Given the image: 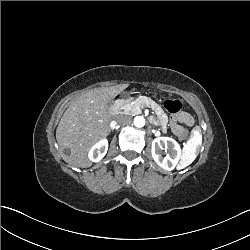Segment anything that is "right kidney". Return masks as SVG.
<instances>
[{
  "label": "right kidney",
  "mask_w": 250,
  "mask_h": 250,
  "mask_svg": "<svg viewBox=\"0 0 250 250\" xmlns=\"http://www.w3.org/2000/svg\"><path fill=\"white\" fill-rule=\"evenodd\" d=\"M108 149V139L100 138L96 143H94L87 153L89 161L93 163H98L106 154Z\"/></svg>",
  "instance_id": "1"
}]
</instances>
